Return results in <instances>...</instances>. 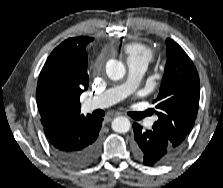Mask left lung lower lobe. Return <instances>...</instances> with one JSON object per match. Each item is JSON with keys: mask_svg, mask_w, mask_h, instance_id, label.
<instances>
[{"mask_svg": "<svg viewBox=\"0 0 223 188\" xmlns=\"http://www.w3.org/2000/svg\"><path fill=\"white\" fill-rule=\"evenodd\" d=\"M133 129V153L144 165L164 164L178 154L179 146L159 126L153 125L151 130L145 131L139 124L133 123Z\"/></svg>", "mask_w": 223, "mask_h": 188, "instance_id": "1", "label": "left lung lower lobe"}]
</instances>
